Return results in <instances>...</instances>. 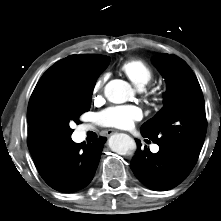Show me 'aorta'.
<instances>
[{
    "label": "aorta",
    "instance_id": "1",
    "mask_svg": "<svg viewBox=\"0 0 221 221\" xmlns=\"http://www.w3.org/2000/svg\"><path fill=\"white\" fill-rule=\"evenodd\" d=\"M132 95L133 89L126 81L115 79L105 86V96L112 103H124ZM109 145L112 151L120 155H126L136 148L134 140L126 134H114L109 140Z\"/></svg>",
    "mask_w": 221,
    "mask_h": 221
}]
</instances>
